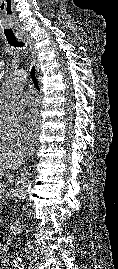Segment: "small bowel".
<instances>
[{
	"instance_id": "small-bowel-1",
	"label": "small bowel",
	"mask_w": 118,
	"mask_h": 269,
	"mask_svg": "<svg viewBox=\"0 0 118 269\" xmlns=\"http://www.w3.org/2000/svg\"><path fill=\"white\" fill-rule=\"evenodd\" d=\"M6 263H7V260H6V259H4V260H3V264L5 265Z\"/></svg>"
}]
</instances>
